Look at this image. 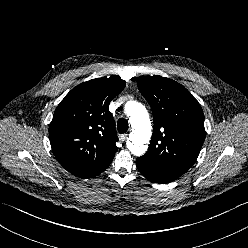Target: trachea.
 <instances>
[{
    "label": "trachea",
    "instance_id": "trachea-1",
    "mask_svg": "<svg viewBox=\"0 0 248 248\" xmlns=\"http://www.w3.org/2000/svg\"><path fill=\"white\" fill-rule=\"evenodd\" d=\"M128 128H129V124L126 119L121 118L118 120L117 129L120 134L127 132Z\"/></svg>",
    "mask_w": 248,
    "mask_h": 248
}]
</instances>
